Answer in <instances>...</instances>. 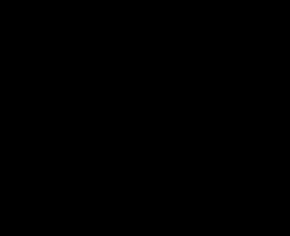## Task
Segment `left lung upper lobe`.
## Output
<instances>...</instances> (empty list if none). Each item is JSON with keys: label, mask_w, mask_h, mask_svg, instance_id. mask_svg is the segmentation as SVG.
<instances>
[{"label": "left lung upper lobe", "mask_w": 290, "mask_h": 236, "mask_svg": "<svg viewBox=\"0 0 290 236\" xmlns=\"http://www.w3.org/2000/svg\"><path fill=\"white\" fill-rule=\"evenodd\" d=\"M194 54L202 63L204 80L199 98L190 112L201 110L221 97L236 90L235 83L230 73L222 63L199 51H194Z\"/></svg>", "instance_id": "1"}]
</instances>
